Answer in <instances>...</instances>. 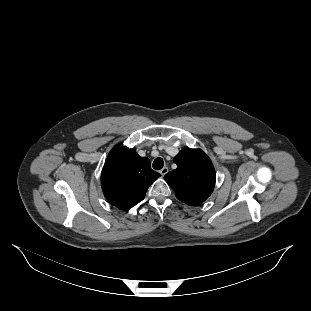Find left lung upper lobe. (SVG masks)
I'll list each match as a JSON object with an SVG mask.
<instances>
[{
  "mask_svg": "<svg viewBox=\"0 0 311 311\" xmlns=\"http://www.w3.org/2000/svg\"><path fill=\"white\" fill-rule=\"evenodd\" d=\"M177 168L164 176L176 197L188 204L199 205L213 192L215 169L200 149H183L174 158Z\"/></svg>",
  "mask_w": 311,
  "mask_h": 311,
  "instance_id": "obj_1",
  "label": "left lung upper lobe"
}]
</instances>
